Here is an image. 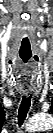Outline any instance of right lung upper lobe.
I'll use <instances>...</instances> for the list:
<instances>
[{"label": "right lung upper lobe", "mask_w": 53, "mask_h": 133, "mask_svg": "<svg viewBox=\"0 0 53 133\" xmlns=\"http://www.w3.org/2000/svg\"><path fill=\"white\" fill-rule=\"evenodd\" d=\"M5 116V113H4V111H3V108H2V110H1V124H3V122H4V117Z\"/></svg>", "instance_id": "1"}]
</instances>
